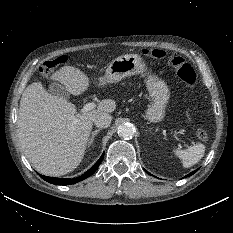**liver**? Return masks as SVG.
<instances>
[{"mask_svg":"<svg viewBox=\"0 0 233 233\" xmlns=\"http://www.w3.org/2000/svg\"><path fill=\"white\" fill-rule=\"evenodd\" d=\"M51 79L64 84L75 96L89 86L87 75L73 66L60 68ZM98 81V86L107 84L102 78ZM115 108L114 100L104 99L97 109L81 113L66 99L49 94L41 82L30 84L22 94L17 120L25 156L39 173L47 176L73 171L83 159L94 118Z\"/></svg>","mask_w":233,"mask_h":233,"instance_id":"liver-1","label":"liver"}]
</instances>
